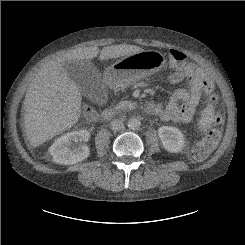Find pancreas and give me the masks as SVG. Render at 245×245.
Masks as SVG:
<instances>
[{
  "label": "pancreas",
  "instance_id": "cf45deb5",
  "mask_svg": "<svg viewBox=\"0 0 245 245\" xmlns=\"http://www.w3.org/2000/svg\"><path fill=\"white\" fill-rule=\"evenodd\" d=\"M136 106V102H132V101H120L117 105H116V109H132Z\"/></svg>",
  "mask_w": 245,
  "mask_h": 245
}]
</instances>
